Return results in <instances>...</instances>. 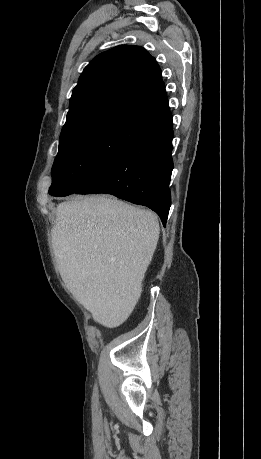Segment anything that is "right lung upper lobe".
<instances>
[{"label": "right lung upper lobe", "instance_id": "obj_1", "mask_svg": "<svg viewBox=\"0 0 261 459\" xmlns=\"http://www.w3.org/2000/svg\"><path fill=\"white\" fill-rule=\"evenodd\" d=\"M170 114L161 70L140 46L120 45L94 58L73 89L61 140L114 122L153 126Z\"/></svg>", "mask_w": 261, "mask_h": 459}]
</instances>
